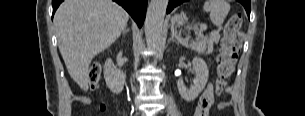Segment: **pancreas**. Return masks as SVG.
<instances>
[{"instance_id": "obj_1", "label": "pancreas", "mask_w": 305, "mask_h": 116, "mask_svg": "<svg viewBox=\"0 0 305 116\" xmlns=\"http://www.w3.org/2000/svg\"><path fill=\"white\" fill-rule=\"evenodd\" d=\"M208 43H209L208 38L202 34H199L196 37L195 41H192L190 45H186V46L200 54H203L206 51Z\"/></svg>"}]
</instances>
